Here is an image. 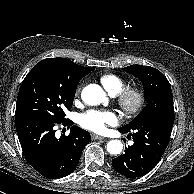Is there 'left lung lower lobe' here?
Instances as JSON below:
<instances>
[{
  "label": "left lung lower lobe",
  "instance_id": "0a47b994",
  "mask_svg": "<svg viewBox=\"0 0 194 194\" xmlns=\"http://www.w3.org/2000/svg\"><path fill=\"white\" fill-rule=\"evenodd\" d=\"M174 114H157L144 117L130 129L118 130L130 133L134 144L125 153L112 160L116 171L128 178L146 175L162 157L172 131Z\"/></svg>",
  "mask_w": 194,
  "mask_h": 194
}]
</instances>
